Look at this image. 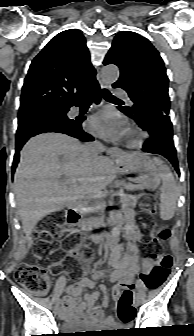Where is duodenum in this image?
I'll return each mask as SVG.
<instances>
[{
  "instance_id": "1",
  "label": "duodenum",
  "mask_w": 194,
  "mask_h": 336,
  "mask_svg": "<svg viewBox=\"0 0 194 336\" xmlns=\"http://www.w3.org/2000/svg\"><path fill=\"white\" fill-rule=\"evenodd\" d=\"M86 209L87 206L83 202H78L68 209L66 219L67 224L71 229L75 228L82 215L85 214ZM68 252L74 257H79L78 249H69Z\"/></svg>"
}]
</instances>
